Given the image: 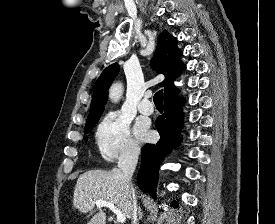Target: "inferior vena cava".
Masks as SVG:
<instances>
[{
	"mask_svg": "<svg viewBox=\"0 0 275 224\" xmlns=\"http://www.w3.org/2000/svg\"><path fill=\"white\" fill-rule=\"evenodd\" d=\"M140 150L136 147H128L119 156L118 160V168L122 172V179L127 187L129 192V199H130V208H131V220L132 224H137V214H138V207H137V199L135 195V190L133 188L131 178L135 171L138 156Z\"/></svg>",
	"mask_w": 275,
	"mask_h": 224,
	"instance_id": "inferior-vena-cava-1",
	"label": "inferior vena cava"
}]
</instances>
